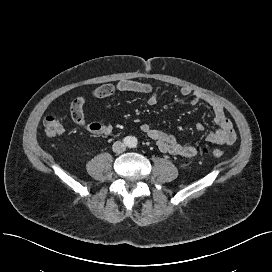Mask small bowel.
<instances>
[{
	"label": "small bowel",
	"mask_w": 272,
	"mask_h": 272,
	"mask_svg": "<svg viewBox=\"0 0 272 272\" xmlns=\"http://www.w3.org/2000/svg\"><path fill=\"white\" fill-rule=\"evenodd\" d=\"M180 94L184 97L190 98L193 105L203 103L207 105L211 111L217 129L206 134V141L212 144L232 145L236 140V133L233 123L225 115L223 104L216 98L192 90L189 87H181ZM137 93L148 96V104L155 105L158 102L159 94L156 88L144 82L133 80H121L115 84H104L95 88L90 96H81L76 98L71 104V116L73 121L81 128L94 136L107 137L113 133V126L111 124H103L100 122H87L85 120L83 108L89 97L94 99H103L110 97L116 93ZM139 129L152 141H154L158 149L167 154L191 158L197 153V150L192 145L184 144L178 141L175 137L168 135L164 131L152 127L150 124L142 123ZM199 131H203V125L197 126Z\"/></svg>",
	"instance_id": "c3829d8e"
}]
</instances>
